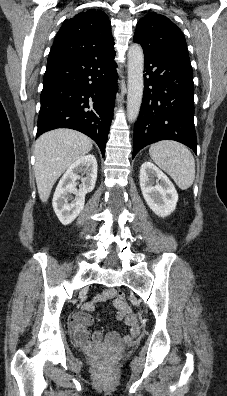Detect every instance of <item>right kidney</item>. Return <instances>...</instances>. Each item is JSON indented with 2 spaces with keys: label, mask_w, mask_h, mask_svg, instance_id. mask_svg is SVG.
Masks as SVG:
<instances>
[{
  "label": "right kidney",
  "mask_w": 227,
  "mask_h": 396,
  "mask_svg": "<svg viewBox=\"0 0 227 396\" xmlns=\"http://www.w3.org/2000/svg\"><path fill=\"white\" fill-rule=\"evenodd\" d=\"M96 179L97 161L93 154L79 158L67 169L57 185L52 202L62 224H70L80 214L84 208L85 195L94 189ZM78 180H81L79 189Z\"/></svg>",
  "instance_id": "ca27d5eb"
}]
</instances>
